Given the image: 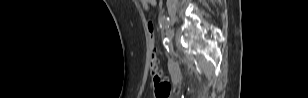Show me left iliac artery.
<instances>
[{"label":"left iliac artery","mask_w":308,"mask_h":98,"mask_svg":"<svg viewBox=\"0 0 308 98\" xmlns=\"http://www.w3.org/2000/svg\"><path fill=\"white\" fill-rule=\"evenodd\" d=\"M169 22H170V20H169V18L167 16L161 17L160 20H159L160 27H167V26H169Z\"/></svg>","instance_id":"obj_1"}]
</instances>
